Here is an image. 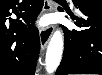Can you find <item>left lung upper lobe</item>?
I'll list each match as a JSON object with an SVG mask.
<instances>
[{
  "instance_id": "1",
  "label": "left lung upper lobe",
  "mask_w": 102,
  "mask_h": 75,
  "mask_svg": "<svg viewBox=\"0 0 102 75\" xmlns=\"http://www.w3.org/2000/svg\"><path fill=\"white\" fill-rule=\"evenodd\" d=\"M77 8H95L102 10V0H73Z\"/></svg>"
}]
</instances>
